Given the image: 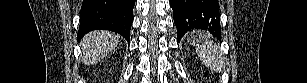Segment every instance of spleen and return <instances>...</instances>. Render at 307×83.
<instances>
[{"label":"spleen","instance_id":"obj_1","mask_svg":"<svg viewBox=\"0 0 307 83\" xmlns=\"http://www.w3.org/2000/svg\"><path fill=\"white\" fill-rule=\"evenodd\" d=\"M188 39L196 42V52L205 66L218 72L223 69L222 52L213 41L204 38L202 32H193L188 36Z\"/></svg>","mask_w":307,"mask_h":83}]
</instances>
